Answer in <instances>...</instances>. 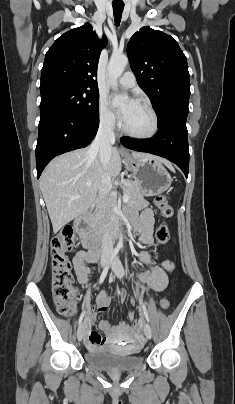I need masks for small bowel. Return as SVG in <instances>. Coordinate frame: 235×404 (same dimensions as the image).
I'll use <instances>...</instances> for the list:
<instances>
[{
    "instance_id": "1",
    "label": "small bowel",
    "mask_w": 235,
    "mask_h": 404,
    "mask_svg": "<svg viewBox=\"0 0 235 404\" xmlns=\"http://www.w3.org/2000/svg\"><path fill=\"white\" fill-rule=\"evenodd\" d=\"M133 230L139 234V245L141 250L138 257L141 261V273L138 275V281L147 286L151 291L161 292L168 285L169 275L174 270V262L171 259H165L161 263L156 264L153 255L146 249L153 242L154 217L150 210H144L139 218L133 221ZM92 252L90 249L79 251L73 258L74 269L80 284H86L90 277L89 264L92 263ZM125 299L122 293L120 300ZM112 303V298L105 292H100L96 297L97 311L106 312ZM84 335L85 345L87 349L104 347L106 343H116L131 339L132 328L126 321H122L117 325H111L108 321L102 320L99 323L100 329L104 332L105 337L100 336L97 331L91 330V326L96 321V311L92 308L84 309ZM136 316L135 310L128 313L130 321Z\"/></svg>"
}]
</instances>
